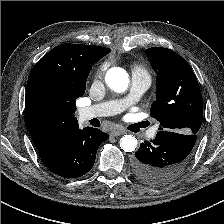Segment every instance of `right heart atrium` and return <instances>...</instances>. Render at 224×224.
I'll use <instances>...</instances> for the list:
<instances>
[{
	"label": "right heart atrium",
	"instance_id": "obj_1",
	"mask_svg": "<svg viewBox=\"0 0 224 224\" xmlns=\"http://www.w3.org/2000/svg\"><path fill=\"white\" fill-rule=\"evenodd\" d=\"M104 72H105V68L104 67L99 68V70L96 72V74L94 76V82L95 83L101 81Z\"/></svg>",
	"mask_w": 224,
	"mask_h": 224
}]
</instances>
